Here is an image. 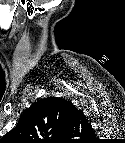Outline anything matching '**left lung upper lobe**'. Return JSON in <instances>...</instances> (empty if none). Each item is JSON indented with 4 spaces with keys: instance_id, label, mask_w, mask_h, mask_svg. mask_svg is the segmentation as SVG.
Masks as SVG:
<instances>
[{
    "instance_id": "5c2ea615",
    "label": "left lung upper lobe",
    "mask_w": 125,
    "mask_h": 143,
    "mask_svg": "<svg viewBox=\"0 0 125 143\" xmlns=\"http://www.w3.org/2000/svg\"><path fill=\"white\" fill-rule=\"evenodd\" d=\"M68 103L70 102L56 97L35 102L24 112L16 127L4 137L8 140L31 141L61 136L68 129ZM77 119L75 123L78 122ZM80 120L86 123L83 116L79 117Z\"/></svg>"
}]
</instances>
